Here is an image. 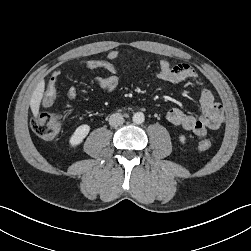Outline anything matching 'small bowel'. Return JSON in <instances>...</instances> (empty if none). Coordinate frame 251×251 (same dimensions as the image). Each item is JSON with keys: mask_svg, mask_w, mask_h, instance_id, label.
Masks as SVG:
<instances>
[{"mask_svg": "<svg viewBox=\"0 0 251 251\" xmlns=\"http://www.w3.org/2000/svg\"><path fill=\"white\" fill-rule=\"evenodd\" d=\"M118 55L119 53L114 50L108 53L106 59H91L84 63V66L89 70L104 69L110 73L107 77L97 76L95 78L97 85L105 92L116 90L120 84L117 68L113 63ZM60 75L61 72L55 70L47 80L41 100L43 107H49L54 103ZM155 76L159 80L171 83L190 81L200 92L202 113L199 117L187 114L178 108H172L166 114L168 122L181 126L199 137L205 136L208 130H216L220 127L224 120L222 106L215 101L212 92L201 83L197 72L191 66L188 64L171 65L169 61L162 59ZM77 94L75 87H70L67 93L70 100L76 99Z\"/></svg>", "mask_w": 251, "mask_h": 251, "instance_id": "c3829d8e", "label": "small bowel"}]
</instances>
